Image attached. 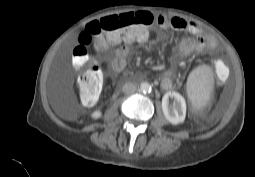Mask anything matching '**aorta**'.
<instances>
[{
  "label": "aorta",
  "instance_id": "762f6f07",
  "mask_svg": "<svg viewBox=\"0 0 255 177\" xmlns=\"http://www.w3.org/2000/svg\"><path fill=\"white\" fill-rule=\"evenodd\" d=\"M140 91L143 93L151 92V85L147 82H143L140 84Z\"/></svg>",
  "mask_w": 255,
  "mask_h": 177
}]
</instances>
